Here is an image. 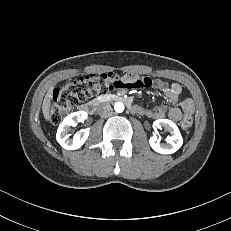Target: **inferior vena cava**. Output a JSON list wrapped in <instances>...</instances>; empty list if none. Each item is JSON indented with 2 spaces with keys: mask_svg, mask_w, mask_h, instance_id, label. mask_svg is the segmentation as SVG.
I'll use <instances>...</instances> for the list:
<instances>
[{
  "mask_svg": "<svg viewBox=\"0 0 231 231\" xmlns=\"http://www.w3.org/2000/svg\"><path fill=\"white\" fill-rule=\"evenodd\" d=\"M111 111V105L109 103H101L97 106V112L100 115H106Z\"/></svg>",
  "mask_w": 231,
  "mask_h": 231,
  "instance_id": "602c4592",
  "label": "inferior vena cava"
}]
</instances>
